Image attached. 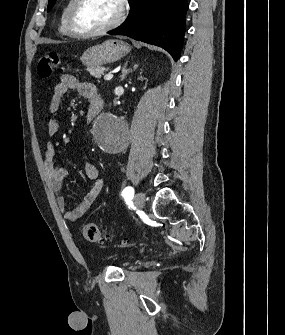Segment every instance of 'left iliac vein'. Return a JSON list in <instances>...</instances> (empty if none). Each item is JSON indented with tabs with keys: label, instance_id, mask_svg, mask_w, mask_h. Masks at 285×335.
<instances>
[{
	"label": "left iliac vein",
	"instance_id": "obj_1",
	"mask_svg": "<svg viewBox=\"0 0 285 335\" xmlns=\"http://www.w3.org/2000/svg\"><path fill=\"white\" fill-rule=\"evenodd\" d=\"M134 205L139 208L142 209L145 206V195L143 192H138L135 197H134Z\"/></svg>",
	"mask_w": 285,
	"mask_h": 335
}]
</instances>
